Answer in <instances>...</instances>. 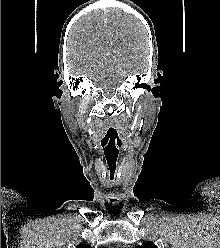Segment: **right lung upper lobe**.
Returning a JSON list of instances; mask_svg holds the SVG:
<instances>
[{
    "mask_svg": "<svg viewBox=\"0 0 220 248\" xmlns=\"http://www.w3.org/2000/svg\"><path fill=\"white\" fill-rule=\"evenodd\" d=\"M76 248H90V247L88 245L81 244L78 245Z\"/></svg>",
    "mask_w": 220,
    "mask_h": 248,
    "instance_id": "1",
    "label": "right lung upper lobe"
}]
</instances>
